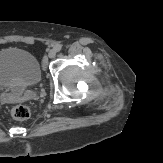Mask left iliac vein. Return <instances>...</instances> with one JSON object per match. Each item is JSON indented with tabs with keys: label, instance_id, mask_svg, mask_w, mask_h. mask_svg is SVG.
<instances>
[{
	"label": "left iliac vein",
	"instance_id": "1",
	"mask_svg": "<svg viewBox=\"0 0 163 163\" xmlns=\"http://www.w3.org/2000/svg\"><path fill=\"white\" fill-rule=\"evenodd\" d=\"M55 55H56V50L55 49L50 50V52L48 53L49 58H54ZM46 64H47V59L45 58L44 59V65H46Z\"/></svg>",
	"mask_w": 163,
	"mask_h": 163
}]
</instances>
